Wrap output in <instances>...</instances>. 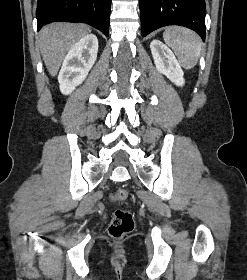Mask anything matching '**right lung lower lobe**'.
Returning a JSON list of instances; mask_svg holds the SVG:
<instances>
[{"label":"right lung lower lobe","mask_w":247,"mask_h":280,"mask_svg":"<svg viewBox=\"0 0 247 280\" xmlns=\"http://www.w3.org/2000/svg\"><path fill=\"white\" fill-rule=\"evenodd\" d=\"M111 0H38V30L53 21L86 22L109 34Z\"/></svg>","instance_id":"1"}]
</instances>
